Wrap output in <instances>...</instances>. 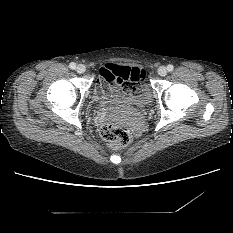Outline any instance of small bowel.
Listing matches in <instances>:
<instances>
[{
  "label": "small bowel",
  "instance_id": "c3829d8e",
  "mask_svg": "<svg viewBox=\"0 0 233 233\" xmlns=\"http://www.w3.org/2000/svg\"><path fill=\"white\" fill-rule=\"evenodd\" d=\"M119 68H127L132 76H136L140 80V77H141L140 71L135 70L133 67L119 65L115 63H105L100 68L101 76L97 79V87H96L97 93L99 94L103 93L102 88L105 85H112V86L119 87V84L115 80L112 79L116 70Z\"/></svg>",
  "mask_w": 233,
  "mask_h": 233
}]
</instances>
